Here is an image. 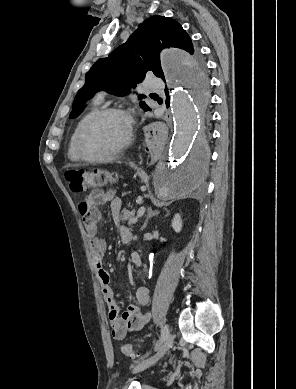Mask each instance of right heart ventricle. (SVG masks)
<instances>
[{"label":"right heart ventricle","mask_w":296,"mask_h":389,"mask_svg":"<svg viewBox=\"0 0 296 389\" xmlns=\"http://www.w3.org/2000/svg\"><path fill=\"white\" fill-rule=\"evenodd\" d=\"M101 103V100L99 98L95 99L90 107V109L81 117V119L78 121L72 135H71V138H70V141H69V145H68V151H67V155H68V158L71 160V161H79L80 160V157L77 153V150H76V140H77V135H78V132H79V129L80 127L82 126V124L92 115L94 114L97 110H99V105Z\"/></svg>","instance_id":"e07e8e85"}]
</instances>
